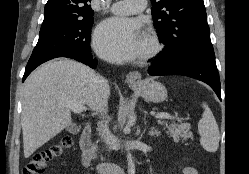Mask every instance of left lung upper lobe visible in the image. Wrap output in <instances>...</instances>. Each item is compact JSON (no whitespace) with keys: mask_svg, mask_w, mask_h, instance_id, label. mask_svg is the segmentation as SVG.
I'll use <instances>...</instances> for the list:
<instances>
[{"mask_svg":"<svg viewBox=\"0 0 249 174\" xmlns=\"http://www.w3.org/2000/svg\"><path fill=\"white\" fill-rule=\"evenodd\" d=\"M165 61L213 50L203 0H151Z\"/></svg>","mask_w":249,"mask_h":174,"instance_id":"1","label":"left lung upper lobe"}]
</instances>
